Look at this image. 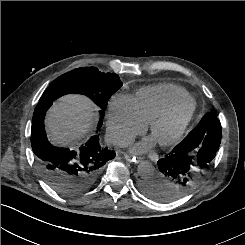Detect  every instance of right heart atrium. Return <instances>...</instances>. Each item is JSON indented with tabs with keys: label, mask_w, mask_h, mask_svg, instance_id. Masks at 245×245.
<instances>
[{
	"label": "right heart atrium",
	"mask_w": 245,
	"mask_h": 245,
	"mask_svg": "<svg viewBox=\"0 0 245 245\" xmlns=\"http://www.w3.org/2000/svg\"><path fill=\"white\" fill-rule=\"evenodd\" d=\"M106 126L110 140L120 146L127 145L146 129L133 97L125 94H115L108 101Z\"/></svg>",
	"instance_id": "obj_1"
}]
</instances>
